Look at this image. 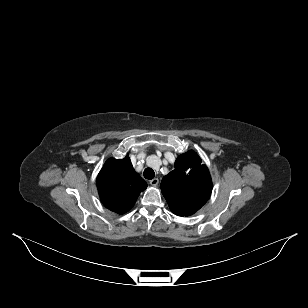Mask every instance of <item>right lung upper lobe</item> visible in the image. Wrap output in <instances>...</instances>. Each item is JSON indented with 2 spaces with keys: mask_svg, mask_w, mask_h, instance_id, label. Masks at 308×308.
Wrapping results in <instances>:
<instances>
[{
  "mask_svg": "<svg viewBox=\"0 0 308 308\" xmlns=\"http://www.w3.org/2000/svg\"><path fill=\"white\" fill-rule=\"evenodd\" d=\"M147 183L137 174L126 156L108 159L97 177V188L103 205L118 214L130 210Z\"/></svg>",
  "mask_w": 308,
  "mask_h": 308,
  "instance_id": "cb5924a9",
  "label": "right lung upper lobe"
}]
</instances>
